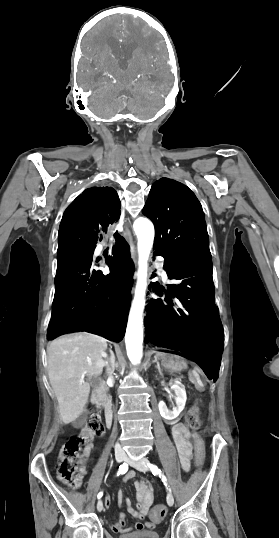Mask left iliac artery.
<instances>
[{
	"label": "left iliac artery",
	"mask_w": 279,
	"mask_h": 538,
	"mask_svg": "<svg viewBox=\"0 0 279 538\" xmlns=\"http://www.w3.org/2000/svg\"><path fill=\"white\" fill-rule=\"evenodd\" d=\"M148 466H149L150 470L152 471V473L154 475H159L162 478L165 486H168L167 479H166L165 475L162 473V471L156 465L148 464Z\"/></svg>",
	"instance_id": "44dca946"
}]
</instances>
